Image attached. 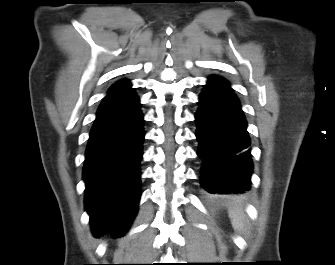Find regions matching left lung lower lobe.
<instances>
[{"label": "left lung lower lobe", "instance_id": "1", "mask_svg": "<svg viewBox=\"0 0 335 265\" xmlns=\"http://www.w3.org/2000/svg\"><path fill=\"white\" fill-rule=\"evenodd\" d=\"M201 179L210 194H240L249 190L252 173L250 138L240 103L222 77H209L195 115Z\"/></svg>", "mask_w": 335, "mask_h": 265}]
</instances>
